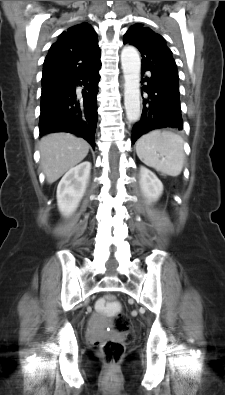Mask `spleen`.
Listing matches in <instances>:
<instances>
[{
    "instance_id": "spleen-1",
    "label": "spleen",
    "mask_w": 225,
    "mask_h": 395,
    "mask_svg": "<svg viewBox=\"0 0 225 395\" xmlns=\"http://www.w3.org/2000/svg\"><path fill=\"white\" fill-rule=\"evenodd\" d=\"M136 153L147 166L175 177L184 165V140L172 131L155 130L138 139Z\"/></svg>"
}]
</instances>
